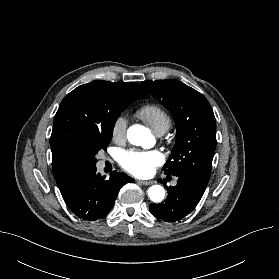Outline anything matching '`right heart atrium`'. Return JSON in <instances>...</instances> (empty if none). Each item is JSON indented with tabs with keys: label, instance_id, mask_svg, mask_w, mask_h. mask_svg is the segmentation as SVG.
I'll return each mask as SVG.
<instances>
[{
	"label": "right heart atrium",
	"instance_id": "1",
	"mask_svg": "<svg viewBox=\"0 0 279 279\" xmlns=\"http://www.w3.org/2000/svg\"><path fill=\"white\" fill-rule=\"evenodd\" d=\"M128 120L124 115H118L111 126V137L115 142L125 139L127 133Z\"/></svg>",
	"mask_w": 279,
	"mask_h": 279
}]
</instances>
